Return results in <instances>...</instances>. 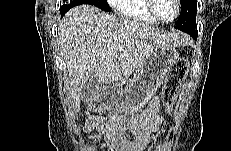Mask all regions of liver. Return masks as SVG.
Returning <instances> with one entry per match:
<instances>
[{"instance_id": "liver-1", "label": "liver", "mask_w": 231, "mask_h": 151, "mask_svg": "<svg viewBox=\"0 0 231 151\" xmlns=\"http://www.w3.org/2000/svg\"><path fill=\"white\" fill-rule=\"evenodd\" d=\"M188 40L179 32L166 33L85 4L70 9L58 25L60 55L77 106L82 87L93 73L100 84H111L121 74L132 75L157 48H175Z\"/></svg>"}]
</instances>
